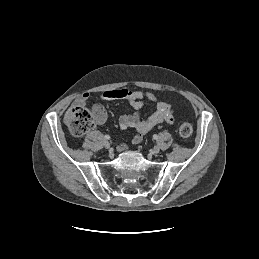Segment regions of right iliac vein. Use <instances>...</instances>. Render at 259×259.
Instances as JSON below:
<instances>
[{
  "instance_id": "63e3f726",
  "label": "right iliac vein",
  "mask_w": 259,
  "mask_h": 259,
  "mask_svg": "<svg viewBox=\"0 0 259 259\" xmlns=\"http://www.w3.org/2000/svg\"><path fill=\"white\" fill-rule=\"evenodd\" d=\"M104 147L106 149H109L110 148V143L108 141H104Z\"/></svg>"
}]
</instances>
